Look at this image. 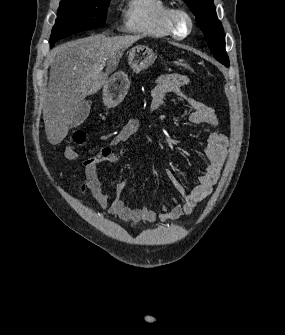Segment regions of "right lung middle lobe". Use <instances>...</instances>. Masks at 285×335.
<instances>
[{
    "label": "right lung middle lobe",
    "mask_w": 285,
    "mask_h": 335,
    "mask_svg": "<svg viewBox=\"0 0 285 335\" xmlns=\"http://www.w3.org/2000/svg\"><path fill=\"white\" fill-rule=\"evenodd\" d=\"M110 0H61L50 44L77 32L105 24Z\"/></svg>",
    "instance_id": "1"
}]
</instances>
